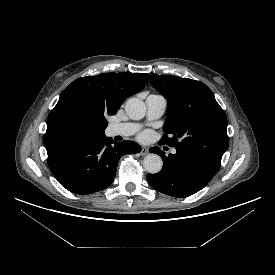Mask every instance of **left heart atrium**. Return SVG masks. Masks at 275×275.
I'll return each instance as SVG.
<instances>
[{"instance_id":"left-heart-atrium-1","label":"left heart atrium","mask_w":275,"mask_h":275,"mask_svg":"<svg viewBox=\"0 0 275 275\" xmlns=\"http://www.w3.org/2000/svg\"><path fill=\"white\" fill-rule=\"evenodd\" d=\"M141 138H142V139L147 138V134H146V133L142 134V135H141Z\"/></svg>"}]
</instances>
